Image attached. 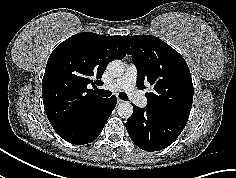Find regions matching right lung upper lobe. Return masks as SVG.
<instances>
[{
	"label": "right lung upper lobe",
	"mask_w": 236,
	"mask_h": 178,
	"mask_svg": "<svg viewBox=\"0 0 236 178\" xmlns=\"http://www.w3.org/2000/svg\"><path fill=\"white\" fill-rule=\"evenodd\" d=\"M129 51L125 36L91 32L75 34L54 49L42 80L44 109L54 130L82 120L105 100L87 85H101L107 63Z\"/></svg>",
	"instance_id": "1"
}]
</instances>
